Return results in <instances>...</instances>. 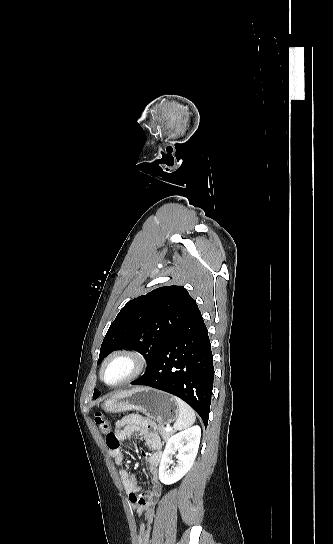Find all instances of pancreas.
Returning a JSON list of instances; mask_svg holds the SVG:
<instances>
[{
  "label": "pancreas",
  "instance_id": "pancreas-1",
  "mask_svg": "<svg viewBox=\"0 0 333 544\" xmlns=\"http://www.w3.org/2000/svg\"><path fill=\"white\" fill-rule=\"evenodd\" d=\"M158 430L164 441H167L174 432L173 430L169 432L165 431V427L163 425H160Z\"/></svg>",
  "mask_w": 333,
  "mask_h": 544
}]
</instances>
